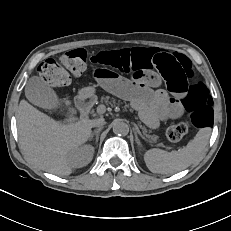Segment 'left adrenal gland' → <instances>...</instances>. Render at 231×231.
<instances>
[{"instance_id":"a2214340","label":"left adrenal gland","mask_w":231,"mask_h":231,"mask_svg":"<svg viewBox=\"0 0 231 231\" xmlns=\"http://www.w3.org/2000/svg\"><path fill=\"white\" fill-rule=\"evenodd\" d=\"M135 141L139 146H142L140 140L138 139L136 132H135Z\"/></svg>"}]
</instances>
